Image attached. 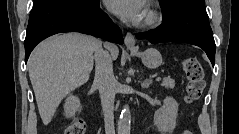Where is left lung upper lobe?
Listing matches in <instances>:
<instances>
[{
  "mask_svg": "<svg viewBox=\"0 0 239 134\" xmlns=\"http://www.w3.org/2000/svg\"><path fill=\"white\" fill-rule=\"evenodd\" d=\"M187 3L205 4V0H160L164 19L170 18L176 11Z\"/></svg>",
  "mask_w": 239,
  "mask_h": 134,
  "instance_id": "obj_1",
  "label": "left lung upper lobe"
}]
</instances>
